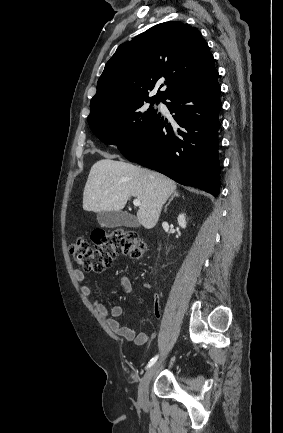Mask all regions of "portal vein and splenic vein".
Returning a JSON list of instances; mask_svg holds the SVG:
<instances>
[{
    "label": "portal vein and splenic vein",
    "instance_id": "1",
    "mask_svg": "<svg viewBox=\"0 0 283 433\" xmlns=\"http://www.w3.org/2000/svg\"><path fill=\"white\" fill-rule=\"evenodd\" d=\"M133 204H134V206H140L141 200H139V198H134Z\"/></svg>",
    "mask_w": 283,
    "mask_h": 433
}]
</instances>
